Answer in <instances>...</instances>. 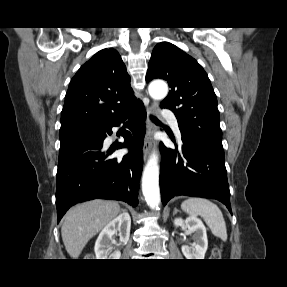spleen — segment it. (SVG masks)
<instances>
[{
  "mask_svg": "<svg viewBox=\"0 0 287 287\" xmlns=\"http://www.w3.org/2000/svg\"><path fill=\"white\" fill-rule=\"evenodd\" d=\"M181 208L191 216H201L216 237L227 240L225 220L216 204L204 198H188Z\"/></svg>",
  "mask_w": 287,
  "mask_h": 287,
  "instance_id": "spleen-1",
  "label": "spleen"
}]
</instances>
